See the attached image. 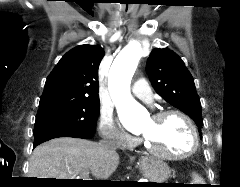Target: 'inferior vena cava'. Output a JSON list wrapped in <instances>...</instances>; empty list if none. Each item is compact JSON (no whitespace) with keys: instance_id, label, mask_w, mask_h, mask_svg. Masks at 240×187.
I'll use <instances>...</instances> for the list:
<instances>
[{"instance_id":"inferior-vena-cava-1","label":"inferior vena cava","mask_w":240,"mask_h":187,"mask_svg":"<svg viewBox=\"0 0 240 187\" xmlns=\"http://www.w3.org/2000/svg\"><path fill=\"white\" fill-rule=\"evenodd\" d=\"M100 145L108 152H113L117 148L116 142L112 139L102 140Z\"/></svg>"}]
</instances>
